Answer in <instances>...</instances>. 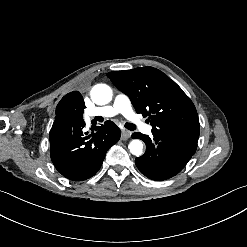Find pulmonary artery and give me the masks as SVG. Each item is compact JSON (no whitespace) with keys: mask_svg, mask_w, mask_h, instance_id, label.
<instances>
[{"mask_svg":"<svg viewBox=\"0 0 247 247\" xmlns=\"http://www.w3.org/2000/svg\"><path fill=\"white\" fill-rule=\"evenodd\" d=\"M118 114L124 115L126 118L133 120L136 124L135 128L138 131H143L146 135H152V125H144L142 119L135 113L131 98L122 92L115 95L111 104L102 107H96L87 109L84 112V121L87 126L91 124V121L95 117L111 118Z\"/></svg>","mask_w":247,"mask_h":247,"instance_id":"e3ab8cb5","label":"pulmonary artery"}]
</instances>
